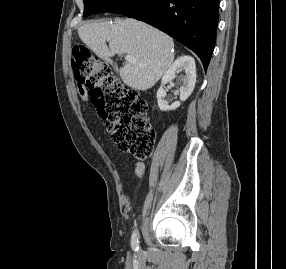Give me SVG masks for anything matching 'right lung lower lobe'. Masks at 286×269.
Masks as SVG:
<instances>
[{
  "label": "right lung lower lobe",
  "mask_w": 286,
  "mask_h": 269,
  "mask_svg": "<svg viewBox=\"0 0 286 269\" xmlns=\"http://www.w3.org/2000/svg\"><path fill=\"white\" fill-rule=\"evenodd\" d=\"M219 0H153L128 15L167 33L194 51L207 70L215 46Z\"/></svg>",
  "instance_id": "1"
}]
</instances>
